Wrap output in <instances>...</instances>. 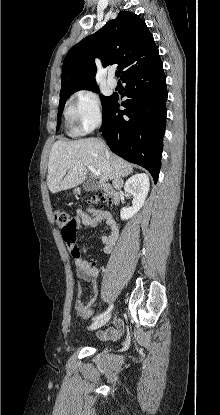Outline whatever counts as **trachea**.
<instances>
[{"label":"trachea","mask_w":220,"mask_h":415,"mask_svg":"<svg viewBox=\"0 0 220 415\" xmlns=\"http://www.w3.org/2000/svg\"><path fill=\"white\" fill-rule=\"evenodd\" d=\"M115 75H116V77H119L120 76V71H116Z\"/></svg>","instance_id":"3493384b"}]
</instances>
